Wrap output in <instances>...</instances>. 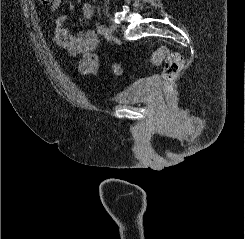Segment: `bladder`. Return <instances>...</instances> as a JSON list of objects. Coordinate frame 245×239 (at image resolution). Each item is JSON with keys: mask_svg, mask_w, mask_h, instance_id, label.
Returning <instances> with one entry per match:
<instances>
[{"mask_svg": "<svg viewBox=\"0 0 245 239\" xmlns=\"http://www.w3.org/2000/svg\"><path fill=\"white\" fill-rule=\"evenodd\" d=\"M154 87L153 78L136 80L119 91L116 100L122 104H134L152 94Z\"/></svg>", "mask_w": 245, "mask_h": 239, "instance_id": "obj_1", "label": "bladder"}]
</instances>
